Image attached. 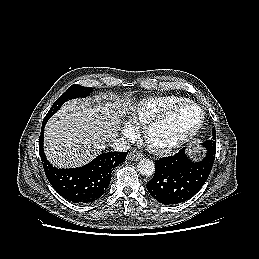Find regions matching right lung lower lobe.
I'll list each match as a JSON object with an SVG mask.
<instances>
[{"label":"right lung lower lobe","instance_id":"98d812e1","mask_svg":"<svg viewBox=\"0 0 259 259\" xmlns=\"http://www.w3.org/2000/svg\"><path fill=\"white\" fill-rule=\"evenodd\" d=\"M48 119L44 118L39 137V154L48 181L62 197L74 203L97 200L107 190L114 167L125 161L127 153H103L82 167L58 169L44 154V127Z\"/></svg>","mask_w":259,"mask_h":259}]
</instances>
